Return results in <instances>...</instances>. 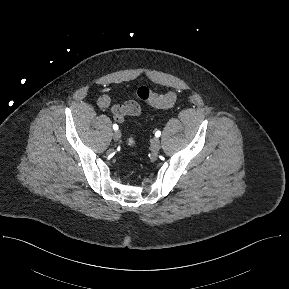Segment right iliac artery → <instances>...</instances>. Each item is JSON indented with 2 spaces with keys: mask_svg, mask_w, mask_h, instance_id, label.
Masks as SVG:
<instances>
[{
  "mask_svg": "<svg viewBox=\"0 0 289 289\" xmlns=\"http://www.w3.org/2000/svg\"><path fill=\"white\" fill-rule=\"evenodd\" d=\"M113 129L114 130H118V125L117 124H113Z\"/></svg>",
  "mask_w": 289,
  "mask_h": 289,
  "instance_id": "82829eb1",
  "label": "right iliac artery"
}]
</instances>
